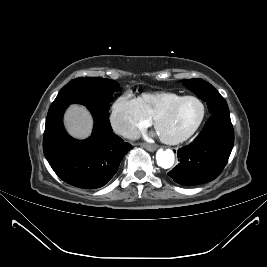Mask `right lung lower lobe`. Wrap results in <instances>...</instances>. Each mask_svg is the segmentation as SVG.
Segmentation results:
<instances>
[{"label":"right lung lower lobe","mask_w":267,"mask_h":267,"mask_svg":"<svg viewBox=\"0 0 267 267\" xmlns=\"http://www.w3.org/2000/svg\"><path fill=\"white\" fill-rule=\"evenodd\" d=\"M66 108L47 115L43 139L45 157L64 182L83 189L100 188L114 176L132 146L113 134L109 114L94 108H89L94 117L92 135L86 140L73 139L63 127Z\"/></svg>","instance_id":"98d812e1"}]
</instances>
